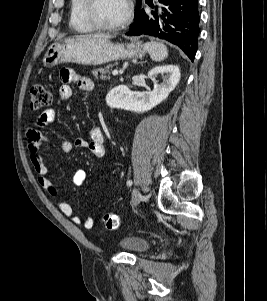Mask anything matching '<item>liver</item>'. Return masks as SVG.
I'll use <instances>...</instances> for the list:
<instances>
[{"instance_id": "1", "label": "liver", "mask_w": 267, "mask_h": 301, "mask_svg": "<svg viewBox=\"0 0 267 301\" xmlns=\"http://www.w3.org/2000/svg\"><path fill=\"white\" fill-rule=\"evenodd\" d=\"M92 38H98V39H110L111 36L110 35H106V34H92V35H80V36H76L74 37V39L77 40H85V39H92Z\"/></svg>"}]
</instances>
